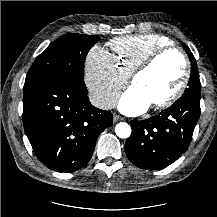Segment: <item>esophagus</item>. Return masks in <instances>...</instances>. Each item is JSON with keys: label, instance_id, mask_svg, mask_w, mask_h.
<instances>
[{"label": "esophagus", "instance_id": "esophagus-1", "mask_svg": "<svg viewBox=\"0 0 217 217\" xmlns=\"http://www.w3.org/2000/svg\"><path fill=\"white\" fill-rule=\"evenodd\" d=\"M124 118L123 117H121L120 115H117V114H115L114 116H113V122L114 123H116V122H118V121H121V120H123Z\"/></svg>", "mask_w": 217, "mask_h": 217}]
</instances>
